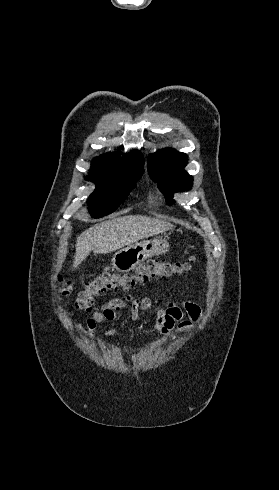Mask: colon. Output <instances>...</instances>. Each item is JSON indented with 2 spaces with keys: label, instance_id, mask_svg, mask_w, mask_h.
Segmentation results:
<instances>
[{
  "label": "colon",
  "instance_id": "obj_1",
  "mask_svg": "<svg viewBox=\"0 0 279 490\" xmlns=\"http://www.w3.org/2000/svg\"><path fill=\"white\" fill-rule=\"evenodd\" d=\"M194 260V257H190L182 262L147 260L131 273L105 272L85 284L84 289L75 299L76 307L82 311H89L92 307L94 297L109 289H128L136 284L149 281L154 277L169 278L180 275L192 267ZM56 288L60 297H66L72 290V282L59 277Z\"/></svg>",
  "mask_w": 279,
  "mask_h": 490
}]
</instances>
